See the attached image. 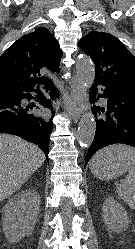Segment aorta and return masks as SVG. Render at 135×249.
I'll return each instance as SVG.
<instances>
[{
	"instance_id": "aorta-1",
	"label": "aorta",
	"mask_w": 135,
	"mask_h": 249,
	"mask_svg": "<svg viewBox=\"0 0 135 249\" xmlns=\"http://www.w3.org/2000/svg\"><path fill=\"white\" fill-rule=\"evenodd\" d=\"M76 72L81 83L88 87L95 79V68L87 56H80L76 60ZM96 122L91 112H86L80 119L78 127V141L81 147H89L95 136Z\"/></svg>"
}]
</instances>
